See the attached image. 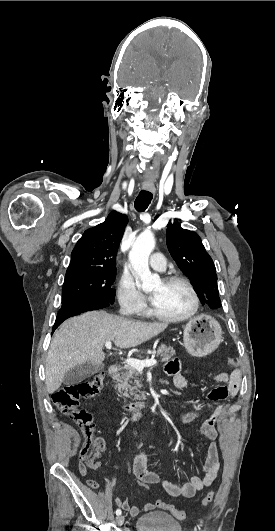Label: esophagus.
I'll return each instance as SVG.
<instances>
[{
  "label": "esophagus",
  "instance_id": "34e87169",
  "mask_svg": "<svg viewBox=\"0 0 275 531\" xmlns=\"http://www.w3.org/2000/svg\"><path fill=\"white\" fill-rule=\"evenodd\" d=\"M142 187H143V190L150 191L151 193H155L156 191L154 185L143 184Z\"/></svg>",
  "mask_w": 275,
  "mask_h": 531
}]
</instances>
